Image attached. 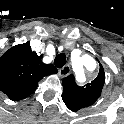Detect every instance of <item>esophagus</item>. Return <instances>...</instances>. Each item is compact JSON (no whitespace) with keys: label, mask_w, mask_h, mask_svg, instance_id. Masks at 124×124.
Masks as SVG:
<instances>
[{"label":"esophagus","mask_w":124,"mask_h":124,"mask_svg":"<svg viewBox=\"0 0 124 124\" xmlns=\"http://www.w3.org/2000/svg\"><path fill=\"white\" fill-rule=\"evenodd\" d=\"M71 72V68L69 65H65L62 68L59 69V75L60 77L64 78L68 76Z\"/></svg>","instance_id":"obj_1"}]
</instances>
